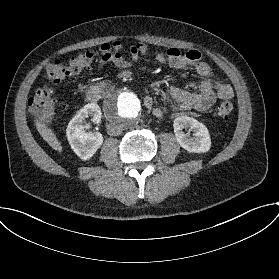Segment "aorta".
I'll use <instances>...</instances> for the list:
<instances>
[{"label":"aorta","mask_w":279,"mask_h":279,"mask_svg":"<svg viewBox=\"0 0 279 279\" xmlns=\"http://www.w3.org/2000/svg\"><path fill=\"white\" fill-rule=\"evenodd\" d=\"M141 109L138 96L127 89L112 91L104 101L106 119L110 124H116L122 128L135 125Z\"/></svg>","instance_id":"762f6f07"}]
</instances>
